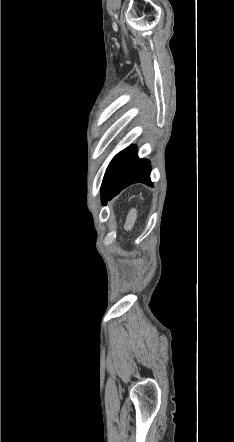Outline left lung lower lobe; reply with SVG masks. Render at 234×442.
I'll use <instances>...</instances> for the list:
<instances>
[{
	"instance_id": "1",
	"label": "left lung lower lobe",
	"mask_w": 234,
	"mask_h": 442,
	"mask_svg": "<svg viewBox=\"0 0 234 442\" xmlns=\"http://www.w3.org/2000/svg\"><path fill=\"white\" fill-rule=\"evenodd\" d=\"M150 171L149 161L138 158L137 148L127 147L114 157L107 168L101 189L102 202L105 204L131 184L141 182L151 185Z\"/></svg>"
}]
</instances>
